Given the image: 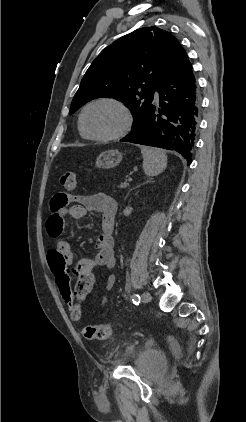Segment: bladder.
Instances as JSON below:
<instances>
[{"label":"bladder","mask_w":246,"mask_h":422,"mask_svg":"<svg viewBox=\"0 0 246 422\" xmlns=\"http://www.w3.org/2000/svg\"><path fill=\"white\" fill-rule=\"evenodd\" d=\"M123 357L126 361L136 362L139 353L134 346L129 345L124 349ZM145 357L154 368H162L165 364V357L160 351H150Z\"/></svg>","instance_id":"bladder-1"}]
</instances>
